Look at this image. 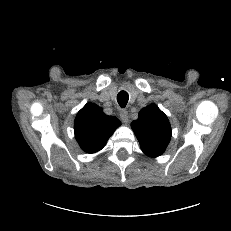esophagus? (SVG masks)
Returning a JSON list of instances; mask_svg holds the SVG:
<instances>
[{
    "label": "esophagus",
    "instance_id": "1",
    "mask_svg": "<svg viewBox=\"0 0 231 231\" xmlns=\"http://www.w3.org/2000/svg\"><path fill=\"white\" fill-rule=\"evenodd\" d=\"M120 118L122 120L123 123H128L129 117H128V112L126 110H122L120 112Z\"/></svg>",
    "mask_w": 231,
    "mask_h": 231
}]
</instances>
